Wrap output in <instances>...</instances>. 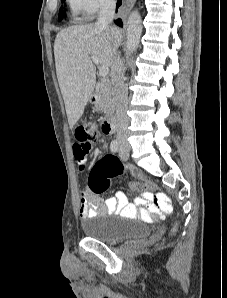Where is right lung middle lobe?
Listing matches in <instances>:
<instances>
[{
	"instance_id": "right-lung-middle-lobe-1",
	"label": "right lung middle lobe",
	"mask_w": 227,
	"mask_h": 298,
	"mask_svg": "<svg viewBox=\"0 0 227 298\" xmlns=\"http://www.w3.org/2000/svg\"><path fill=\"white\" fill-rule=\"evenodd\" d=\"M65 0H62V2H64ZM63 7L60 9V13H59V19L62 20L63 19Z\"/></svg>"
}]
</instances>
